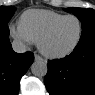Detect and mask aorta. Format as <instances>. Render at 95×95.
Returning <instances> with one entry per match:
<instances>
[{
	"label": "aorta",
	"mask_w": 95,
	"mask_h": 95,
	"mask_svg": "<svg viewBox=\"0 0 95 95\" xmlns=\"http://www.w3.org/2000/svg\"><path fill=\"white\" fill-rule=\"evenodd\" d=\"M31 72L36 77H44L48 72L47 63L43 60H36L31 65Z\"/></svg>",
	"instance_id": "1"
}]
</instances>
